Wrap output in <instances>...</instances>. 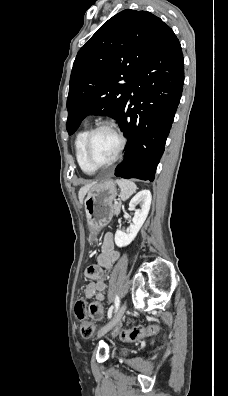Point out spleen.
Masks as SVG:
<instances>
[{"instance_id":"1","label":"spleen","mask_w":228,"mask_h":396,"mask_svg":"<svg viewBox=\"0 0 228 396\" xmlns=\"http://www.w3.org/2000/svg\"><path fill=\"white\" fill-rule=\"evenodd\" d=\"M116 183L120 187V198L123 201L127 200L137 190L136 184L130 180L117 179Z\"/></svg>"}]
</instances>
